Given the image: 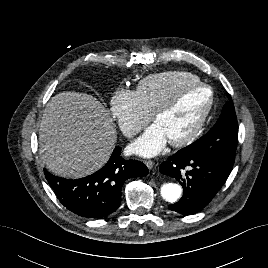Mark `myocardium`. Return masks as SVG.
<instances>
[{
    "label": "myocardium",
    "instance_id": "1",
    "mask_svg": "<svg viewBox=\"0 0 268 268\" xmlns=\"http://www.w3.org/2000/svg\"><path fill=\"white\" fill-rule=\"evenodd\" d=\"M192 88L206 89L209 92V97L205 105L203 106L199 114V117L197 121L195 122V124L193 125V127L181 138L175 139V140H169L170 145L175 146V147H182V146H186L190 144L201 132L214 103L213 90L211 89V87H209L208 85L202 82L188 83L186 85H182L175 91L173 95H171V97L161 107H159L153 113V120L157 122L162 116L166 115L177 106L180 100V95L184 91H187Z\"/></svg>",
    "mask_w": 268,
    "mask_h": 268
}]
</instances>
